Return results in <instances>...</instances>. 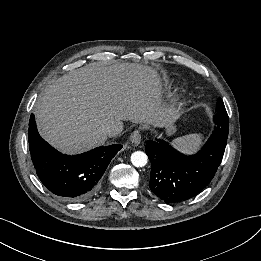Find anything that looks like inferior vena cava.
Instances as JSON below:
<instances>
[{
    "label": "inferior vena cava",
    "mask_w": 261,
    "mask_h": 261,
    "mask_svg": "<svg viewBox=\"0 0 261 261\" xmlns=\"http://www.w3.org/2000/svg\"><path fill=\"white\" fill-rule=\"evenodd\" d=\"M121 131H122V127L117 124L107 125L103 129L104 134L109 136H117L121 133Z\"/></svg>",
    "instance_id": "obj_1"
}]
</instances>
